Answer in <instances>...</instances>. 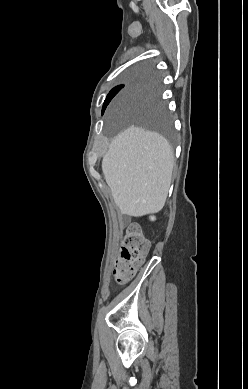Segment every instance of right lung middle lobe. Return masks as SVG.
I'll return each instance as SVG.
<instances>
[{"label": "right lung middle lobe", "instance_id": "dd1d6c3e", "mask_svg": "<svg viewBox=\"0 0 248 389\" xmlns=\"http://www.w3.org/2000/svg\"><path fill=\"white\" fill-rule=\"evenodd\" d=\"M142 81L145 83L142 97L126 106L127 115L133 122L159 132L171 142L174 141L170 119L165 105L159 100L156 82L150 80L143 72L134 74L130 79V82L135 84H140ZM123 87L124 85H119L110 91L104 101L102 113Z\"/></svg>", "mask_w": 248, "mask_h": 389}]
</instances>
